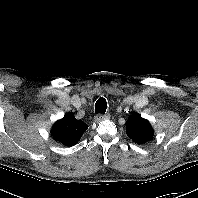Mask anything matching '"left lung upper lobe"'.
<instances>
[{
  "label": "left lung upper lobe",
  "mask_w": 198,
  "mask_h": 198,
  "mask_svg": "<svg viewBox=\"0 0 198 198\" xmlns=\"http://www.w3.org/2000/svg\"><path fill=\"white\" fill-rule=\"evenodd\" d=\"M126 134L137 144L148 142L154 135V131L147 119L134 113L126 121Z\"/></svg>",
  "instance_id": "5c2ea615"
}]
</instances>
